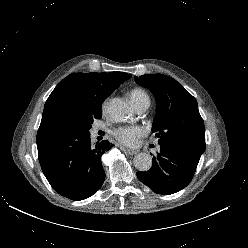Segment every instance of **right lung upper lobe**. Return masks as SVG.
<instances>
[{"instance_id":"obj_1","label":"right lung upper lobe","mask_w":248,"mask_h":248,"mask_svg":"<svg viewBox=\"0 0 248 248\" xmlns=\"http://www.w3.org/2000/svg\"><path fill=\"white\" fill-rule=\"evenodd\" d=\"M129 78L119 71L72 73L64 78L45 103L37 144L102 111L103 101Z\"/></svg>"}]
</instances>
